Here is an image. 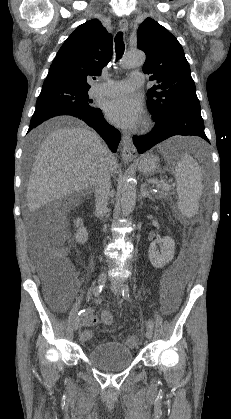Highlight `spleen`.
I'll use <instances>...</instances> for the list:
<instances>
[{
	"label": "spleen",
	"instance_id": "1",
	"mask_svg": "<svg viewBox=\"0 0 231 419\" xmlns=\"http://www.w3.org/2000/svg\"><path fill=\"white\" fill-rule=\"evenodd\" d=\"M174 173L179 199L178 208L184 216L191 218L198 211L203 190L201 169L192 156L184 153Z\"/></svg>",
	"mask_w": 231,
	"mask_h": 419
}]
</instances>
